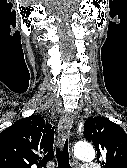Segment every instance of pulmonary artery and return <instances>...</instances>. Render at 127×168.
Listing matches in <instances>:
<instances>
[{"label": "pulmonary artery", "instance_id": "obj_1", "mask_svg": "<svg viewBox=\"0 0 127 168\" xmlns=\"http://www.w3.org/2000/svg\"><path fill=\"white\" fill-rule=\"evenodd\" d=\"M82 168H99V166L95 163H85Z\"/></svg>", "mask_w": 127, "mask_h": 168}]
</instances>
